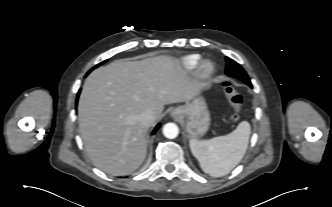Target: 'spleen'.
I'll return each mask as SVG.
<instances>
[{"mask_svg":"<svg viewBox=\"0 0 332 207\" xmlns=\"http://www.w3.org/2000/svg\"><path fill=\"white\" fill-rule=\"evenodd\" d=\"M250 132V124L242 121L227 135L209 140H190V149L205 173L221 177L234 169L243 158Z\"/></svg>","mask_w":332,"mask_h":207,"instance_id":"3e777b00","label":"spleen"}]
</instances>
